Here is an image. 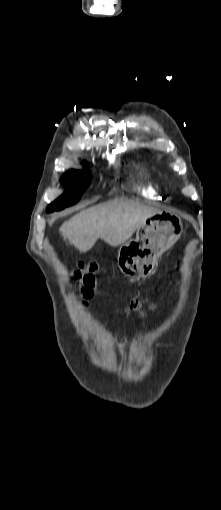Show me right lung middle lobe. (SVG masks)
<instances>
[{
    "mask_svg": "<svg viewBox=\"0 0 221 510\" xmlns=\"http://www.w3.org/2000/svg\"><path fill=\"white\" fill-rule=\"evenodd\" d=\"M90 181L89 171H69L61 179V182L67 187L66 193L50 204L47 211L62 210L78 202Z\"/></svg>",
    "mask_w": 221,
    "mask_h": 510,
    "instance_id": "1",
    "label": "right lung middle lobe"
}]
</instances>
